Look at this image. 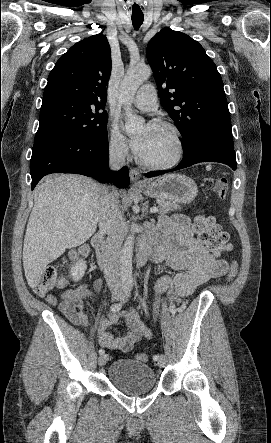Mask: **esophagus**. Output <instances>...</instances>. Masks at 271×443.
I'll use <instances>...</instances> for the list:
<instances>
[{"label": "esophagus", "mask_w": 271, "mask_h": 443, "mask_svg": "<svg viewBox=\"0 0 271 443\" xmlns=\"http://www.w3.org/2000/svg\"><path fill=\"white\" fill-rule=\"evenodd\" d=\"M130 180L134 185L142 186L143 184H145V182H142L140 180V173L136 169L130 170Z\"/></svg>", "instance_id": "obj_1"}]
</instances>
